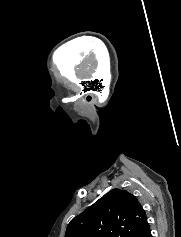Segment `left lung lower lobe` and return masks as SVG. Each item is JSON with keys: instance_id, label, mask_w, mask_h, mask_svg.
Returning a JSON list of instances; mask_svg holds the SVG:
<instances>
[{"instance_id": "left-lung-lower-lobe-1", "label": "left lung lower lobe", "mask_w": 181, "mask_h": 237, "mask_svg": "<svg viewBox=\"0 0 181 237\" xmlns=\"http://www.w3.org/2000/svg\"><path fill=\"white\" fill-rule=\"evenodd\" d=\"M139 237H152L150 228L147 227Z\"/></svg>"}]
</instances>
